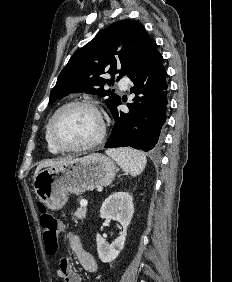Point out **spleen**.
Listing matches in <instances>:
<instances>
[{
	"label": "spleen",
	"instance_id": "1",
	"mask_svg": "<svg viewBox=\"0 0 232 282\" xmlns=\"http://www.w3.org/2000/svg\"><path fill=\"white\" fill-rule=\"evenodd\" d=\"M106 154L112 157L125 173L133 176L139 175L147 162L143 153L132 148L110 149Z\"/></svg>",
	"mask_w": 232,
	"mask_h": 282
}]
</instances>
